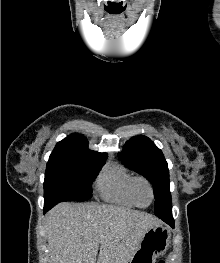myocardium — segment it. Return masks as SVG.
I'll list each match as a JSON object with an SVG mask.
<instances>
[{
    "label": "myocardium",
    "mask_w": 220,
    "mask_h": 263,
    "mask_svg": "<svg viewBox=\"0 0 220 263\" xmlns=\"http://www.w3.org/2000/svg\"><path fill=\"white\" fill-rule=\"evenodd\" d=\"M139 185H144L146 186V188L149 190L150 193V201L148 204L146 205H142L139 201H138V197H137V190ZM131 194H132V198L133 201L135 202V204L139 207H147L149 206L153 200H154V189L152 184L150 183V181L148 179H146L145 177L142 176H137L134 178L133 182H132V187H131Z\"/></svg>",
    "instance_id": "f54148a6"
}]
</instances>
